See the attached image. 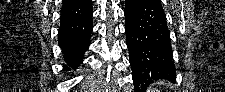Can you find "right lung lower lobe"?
<instances>
[{
    "mask_svg": "<svg viewBox=\"0 0 225 92\" xmlns=\"http://www.w3.org/2000/svg\"><path fill=\"white\" fill-rule=\"evenodd\" d=\"M93 11L73 21L60 22L58 43L62 49L66 70L76 69L83 61L93 29Z\"/></svg>",
    "mask_w": 225,
    "mask_h": 92,
    "instance_id": "obj_1",
    "label": "right lung lower lobe"
}]
</instances>
